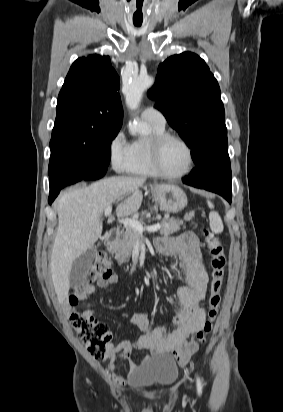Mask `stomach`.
<instances>
[{
    "label": "stomach",
    "instance_id": "stomach-1",
    "mask_svg": "<svg viewBox=\"0 0 283 412\" xmlns=\"http://www.w3.org/2000/svg\"><path fill=\"white\" fill-rule=\"evenodd\" d=\"M152 194L160 209L168 213H178L187 206L185 192L176 185L156 184L152 186Z\"/></svg>",
    "mask_w": 283,
    "mask_h": 412
}]
</instances>
